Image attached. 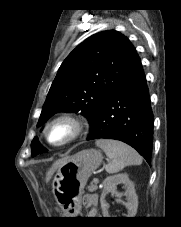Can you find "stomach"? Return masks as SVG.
I'll use <instances>...</instances> for the list:
<instances>
[{
	"instance_id": "0dacf381",
	"label": "stomach",
	"mask_w": 181,
	"mask_h": 227,
	"mask_svg": "<svg viewBox=\"0 0 181 227\" xmlns=\"http://www.w3.org/2000/svg\"><path fill=\"white\" fill-rule=\"evenodd\" d=\"M103 155L96 149H87L71 156L60 166L52 180L54 198L66 215H75L88 178L102 163Z\"/></svg>"
}]
</instances>
